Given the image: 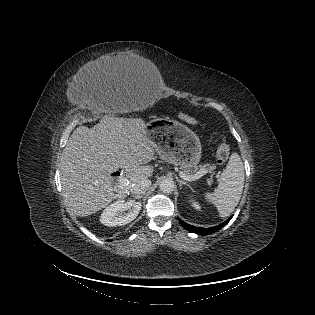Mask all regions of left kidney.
<instances>
[{"mask_svg":"<svg viewBox=\"0 0 315 315\" xmlns=\"http://www.w3.org/2000/svg\"><path fill=\"white\" fill-rule=\"evenodd\" d=\"M190 202H191V206H192L194 209L200 211L201 206H200L196 201L192 200V201H190Z\"/></svg>","mask_w":315,"mask_h":315,"instance_id":"obj_1","label":"left kidney"}]
</instances>
